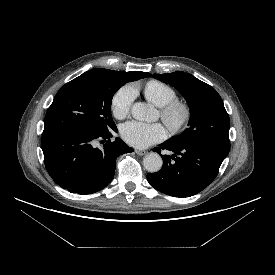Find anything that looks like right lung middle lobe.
Listing matches in <instances>:
<instances>
[{
	"mask_svg": "<svg viewBox=\"0 0 275 275\" xmlns=\"http://www.w3.org/2000/svg\"><path fill=\"white\" fill-rule=\"evenodd\" d=\"M125 83L113 72L82 74L57 92L46 113L44 128L72 127L94 134L113 130L112 98Z\"/></svg>",
	"mask_w": 275,
	"mask_h": 275,
	"instance_id": "right-lung-middle-lobe-1",
	"label": "right lung middle lobe"
}]
</instances>
